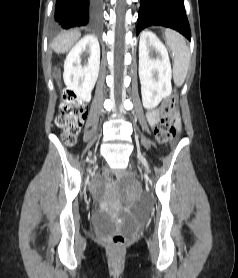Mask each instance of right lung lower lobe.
Listing matches in <instances>:
<instances>
[{
  "label": "right lung lower lobe",
  "mask_w": 238,
  "mask_h": 278,
  "mask_svg": "<svg viewBox=\"0 0 238 278\" xmlns=\"http://www.w3.org/2000/svg\"><path fill=\"white\" fill-rule=\"evenodd\" d=\"M102 0H56L55 20L63 29L92 26L100 19Z\"/></svg>",
  "instance_id": "1"
}]
</instances>
